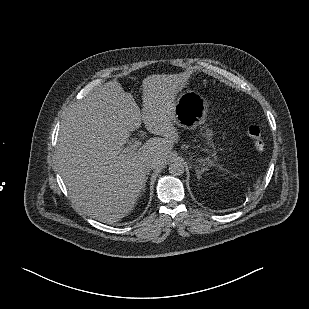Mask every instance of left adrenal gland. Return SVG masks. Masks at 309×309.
Returning a JSON list of instances; mask_svg holds the SVG:
<instances>
[{"instance_id":"1","label":"left adrenal gland","mask_w":309,"mask_h":309,"mask_svg":"<svg viewBox=\"0 0 309 309\" xmlns=\"http://www.w3.org/2000/svg\"><path fill=\"white\" fill-rule=\"evenodd\" d=\"M196 172H197V176L199 177L200 176V171L198 169H196Z\"/></svg>"}]
</instances>
